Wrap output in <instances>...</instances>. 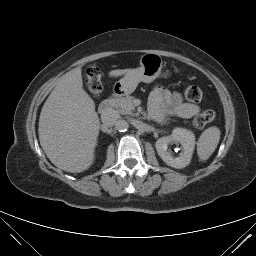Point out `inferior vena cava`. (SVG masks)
Instances as JSON below:
<instances>
[{
	"label": "inferior vena cava",
	"instance_id": "602c4592",
	"mask_svg": "<svg viewBox=\"0 0 256 256\" xmlns=\"http://www.w3.org/2000/svg\"><path fill=\"white\" fill-rule=\"evenodd\" d=\"M120 115L119 113L114 109H108L101 115V120L103 124L107 127H111L113 125H116L119 121Z\"/></svg>",
	"mask_w": 256,
	"mask_h": 256
}]
</instances>
